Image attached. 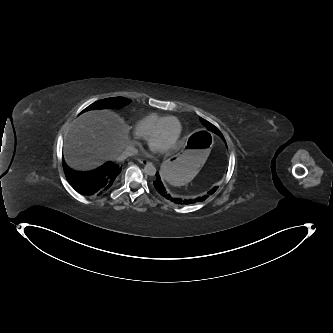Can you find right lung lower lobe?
<instances>
[{"label": "right lung lower lobe", "mask_w": 333, "mask_h": 333, "mask_svg": "<svg viewBox=\"0 0 333 333\" xmlns=\"http://www.w3.org/2000/svg\"><path fill=\"white\" fill-rule=\"evenodd\" d=\"M63 167L68 182L77 192L86 196L101 195L109 191L121 172V167L112 162L88 172L72 170L65 163Z\"/></svg>", "instance_id": "1"}]
</instances>
